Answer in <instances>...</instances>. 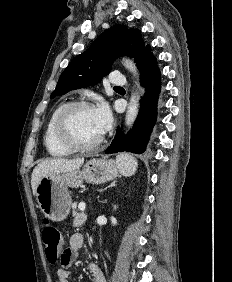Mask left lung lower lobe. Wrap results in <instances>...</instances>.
<instances>
[{
  "instance_id": "0a47b994",
  "label": "left lung lower lobe",
  "mask_w": 232,
  "mask_h": 282,
  "mask_svg": "<svg viewBox=\"0 0 232 282\" xmlns=\"http://www.w3.org/2000/svg\"><path fill=\"white\" fill-rule=\"evenodd\" d=\"M136 65L140 71L141 83L146 89V93L142 98L140 113L133 129L126 136L123 135L120 129L117 130L115 139L105 151L107 154L123 151L142 154L146 149L150 133L156 121L161 73L149 45L145 47Z\"/></svg>"
}]
</instances>
